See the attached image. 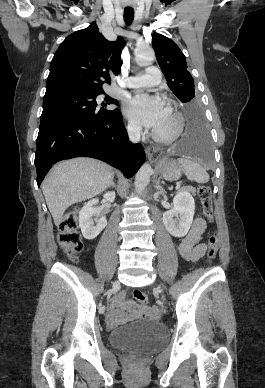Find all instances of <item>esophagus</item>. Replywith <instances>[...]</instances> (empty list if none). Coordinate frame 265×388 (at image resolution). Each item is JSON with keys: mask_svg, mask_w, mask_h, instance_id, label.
<instances>
[{"mask_svg": "<svg viewBox=\"0 0 265 388\" xmlns=\"http://www.w3.org/2000/svg\"><path fill=\"white\" fill-rule=\"evenodd\" d=\"M146 154L149 160L159 158L163 154V148L161 147H147Z\"/></svg>", "mask_w": 265, "mask_h": 388, "instance_id": "34e87169", "label": "esophagus"}]
</instances>
